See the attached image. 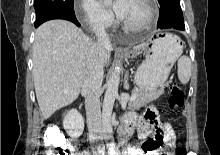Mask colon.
<instances>
[{
	"instance_id": "colon-1",
	"label": "colon",
	"mask_w": 220,
	"mask_h": 155,
	"mask_svg": "<svg viewBox=\"0 0 220 155\" xmlns=\"http://www.w3.org/2000/svg\"><path fill=\"white\" fill-rule=\"evenodd\" d=\"M168 107L170 110H176L181 108L184 104V91L178 82H174L169 90ZM49 143H43L46 155H69L67 148L69 143L61 142L59 132L56 130H50L47 135ZM174 141L166 139L162 134H157L148 143V150L158 153L157 155H173L172 148Z\"/></svg>"
}]
</instances>
